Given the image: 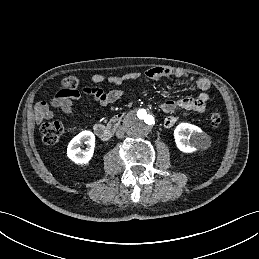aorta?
I'll return each instance as SVG.
<instances>
[{
    "instance_id": "obj_1",
    "label": "aorta",
    "mask_w": 259,
    "mask_h": 259,
    "mask_svg": "<svg viewBox=\"0 0 259 259\" xmlns=\"http://www.w3.org/2000/svg\"><path fill=\"white\" fill-rule=\"evenodd\" d=\"M154 124V116L148 109L136 110L130 113L124 121L127 133L134 138L146 136Z\"/></svg>"
}]
</instances>
